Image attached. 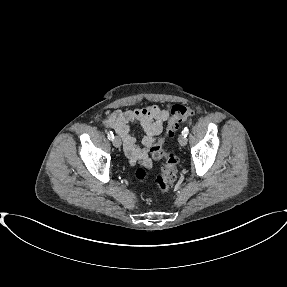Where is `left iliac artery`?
I'll return each mask as SVG.
<instances>
[{"instance_id": "left-iliac-artery-1", "label": "left iliac artery", "mask_w": 287, "mask_h": 287, "mask_svg": "<svg viewBox=\"0 0 287 287\" xmlns=\"http://www.w3.org/2000/svg\"><path fill=\"white\" fill-rule=\"evenodd\" d=\"M189 133V130L187 127L184 128V130L182 131V134L186 137Z\"/></svg>"}]
</instances>
